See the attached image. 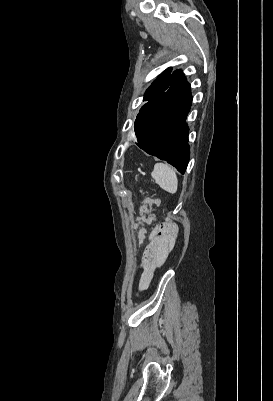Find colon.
Returning a JSON list of instances; mask_svg holds the SVG:
<instances>
[{
    "label": "colon",
    "instance_id": "obj_1",
    "mask_svg": "<svg viewBox=\"0 0 273 401\" xmlns=\"http://www.w3.org/2000/svg\"><path fill=\"white\" fill-rule=\"evenodd\" d=\"M147 203L153 206L157 202L154 199L149 198ZM175 229V226L170 222L161 223L155 228L153 238L157 239L162 236L163 241H174L176 238L174 233Z\"/></svg>",
    "mask_w": 273,
    "mask_h": 401
}]
</instances>
